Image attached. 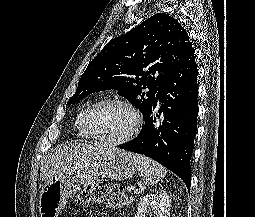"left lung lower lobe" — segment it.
<instances>
[{
  "instance_id": "1",
  "label": "left lung lower lobe",
  "mask_w": 255,
  "mask_h": 217,
  "mask_svg": "<svg viewBox=\"0 0 255 217\" xmlns=\"http://www.w3.org/2000/svg\"><path fill=\"white\" fill-rule=\"evenodd\" d=\"M198 69L194 50L167 74L144 118L145 127L121 149L150 157L178 175L190 188V160L194 148L198 115ZM160 99L161 107L153 111ZM163 113L159 123L156 119Z\"/></svg>"
}]
</instances>
